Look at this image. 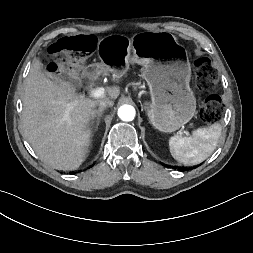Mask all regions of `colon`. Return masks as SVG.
I'll list each match as a JSON object with an SVG mask.
<instances>
[{"mask_svg": "<svg viewBox=\"0 0 253 253\" xmlns=\"http://www.w3.org/2000/svg\"><path fill=\"white\" fill-rule=\"evenodd\" d=\"M95 48V39L92 36H73L58 41L53 47L58 61L64 68L74 64H81ZM198 87L207 93L201 116L207 123H214L221 119L223 106L220 97L215 93L218 75L211 69L207 58H199L194 62ZM51 69H58L59 64H51Z\"/></svg>", "mask_w": 253, "mask_h": 253, "instance_id": "colon-1", "label": "colon"}]
</instances>
